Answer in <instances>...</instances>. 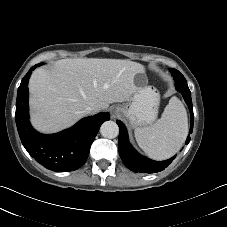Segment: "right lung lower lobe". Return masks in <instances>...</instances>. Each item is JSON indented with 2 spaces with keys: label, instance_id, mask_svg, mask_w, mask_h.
<instances>
[{
  "label": "right lung lower lobe",
  "instance_id": "1",
  "mask_svg": "<svg viewBox=\"0 0 227 227\" xmlns=\"http://www.w3.org/2000/svg\"><path fill=\"white\" fill-rule=\"evenodd\" d=\"M37 66L28 71L18 88L15 119L21 142L45 168L55 172L74 171L86 162L101 124L110 119L109 113L84 118L72 128L56 134L38 133L29 122L28 106V81Z\"/></svg>",
  "mask_w": 227,
  "mask_h": 227
}]
</instances>
